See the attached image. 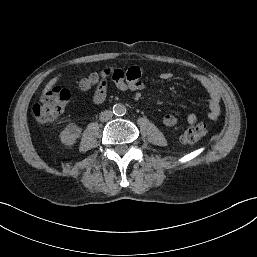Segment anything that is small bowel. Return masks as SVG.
<instances>
[{
	"label": "small bowel",
	"instance_id": "obj_1",
	"mask_svg": "<svg viewBox=\"0 0 257 257\" xmlns=\"http://www.w3.org/2000/svg\"><path fill=\"white\" fill-rule=\"evenodd\" d=\"M106 78H111L115 84V86L121 90H141L145 87L144 82L142 80V69L138 66H132L127 70H122L119 68H106L102 73ZM186 78L198 83L203 90L205 91L208 97L209 111L208 117L211 120H217L221 114V98L219 91L212 83L210 79L207 77L187 71L182 73ZM175 74L171 71H163L160 74V77L163 80H169L173 78ZM106 99V86L102 88H96L93 93V103L95 105L102 104ZM162 122L167 127H173L177 124V118L172 114H166L162 118ZM187 122L189 124H195L197 122V115L195 113H190L187 116Z\"/></svg>",
	"mask_w": 257,
	"mask_h": 257
}]
</instances>
